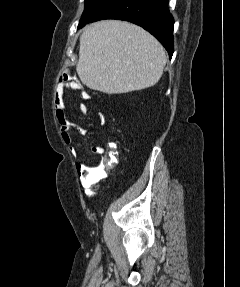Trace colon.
Here are the masks:
<instances>
[{
	"mask_svg": "<svg viewBox=\"0 0 240 287\" xmlns=\"http://www.w3.org/2000/svg\"><path fill=\"white\" fill-rule=\"evenodd\" d=\"M66 81H68V75L67 74L61 75L59 83L56 87V91L58 87L64 84ZM116 160H117V152L115 150V146H113L110 149L108 156L100 158L95 164L93 165L78 164L77 167L78 175L82 183L84 185H91L96 181L102 179L106 175L108 169H110L115 164Z\"/></svg>",
	"mask_w": 240,
	"mask_h": 287,
	"instance_id": "1",
	"label": "colon"
}]
</instances>
